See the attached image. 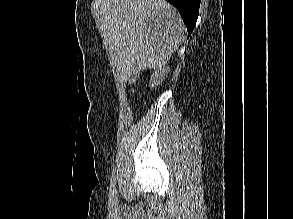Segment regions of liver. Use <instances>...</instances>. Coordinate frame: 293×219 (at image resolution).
I'll use <instances>...</instances> for the list:
<instances>
[{
    "label": "liver",
    "mask_w": 293,
    "mask_h": 219,
    "mask_svg": "<svg viewBox=\"0 0 293 219\" xmlns=\"http://www.w3.org/2000/svg\"><path fill=\"white\" fill-rule=\"evenodd\" d=\"M100 33L121 81L170 59L186 27L165 0H102Z\"/></svg>",
    "instance_id": "obj_1"
}]
</instances>
